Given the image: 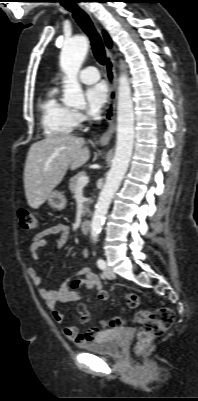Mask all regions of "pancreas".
<instances>
[{
  "label": "pancreas",
  "mask_w": 198,
  "mask_h": 401,
  "mask_svg": "<svg viewBox=\"0 0 198 401\" xmlns=\"http://www.w3.org/2000/svg\"><path fill=\"white\" fill-rule=\"evenodd\" d=\"M85 175H86V173H85L84 171H81V172L77 173L75 176H73L72 178H70V181H69V190H70L71 192H74V191L76 190L77 182H78L79 178L82 177V176H85ZM90 203H91V200L85 203V208H84V211H83V216L89 215V214H90V210H89V208H88V205H89Z\"/></svg>",
  "instance_id": "pancreas-1"
}]
</instances>
